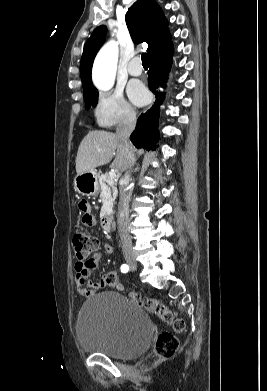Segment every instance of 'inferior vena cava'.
<instances>
[{"label":"inferior vena cava","mask_w":267,"mask_h":391,"mask_svg":"<svg viewBox=\"0 0 267 391\" xmlns=\"http://www.w3.org/2000/svg\"><path fill=\"white\" fill-rule=\"evenodd\" d=\"M136 126V114L132 111L127 112L122 119V121L118 124L116 128V135L124 147L127 158H128V168H131L134 163V153L132 150V146L129 140V137ZM130 181V174L126 172L124 174L122 190L120 192V201L118 207V231L120 235V239L122 242V250L123 252H131L132 251V241L127 229V225L129 222V202H130V193L125 190Z\"/></svg>","instance_id":"1"}]
</instances>
